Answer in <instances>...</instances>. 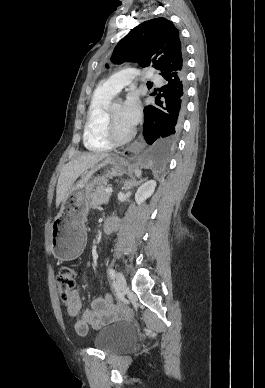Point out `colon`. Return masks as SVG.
Returning <instances> with one entry per match:
<instances>
[{
    "instance_id": "1",
    "label": "colon",
    "mask_w": 265,
    "mask_h": 388,
    "mask_svg": "<svg viewBox=\"0 0 265 388\" xmlns=\"http://www.w3.org/2000/svg\"><path fill=\"white\" fill-rule=\"evenodd\" d=\"M76 282V273L71 267H62L57 277V289L60 298L64 303L69 301L70 295L73 291ZM107 304H114V298L111 294L105 296Z\"/></svg>"
}]
</instances>
